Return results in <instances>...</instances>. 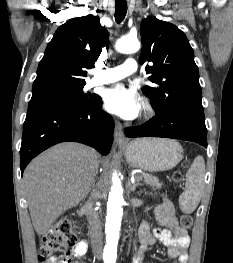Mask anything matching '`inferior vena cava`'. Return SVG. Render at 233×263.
<instances>
[{
    "label": "inferior vena cava",
    "mask_w": 233,
    "mask_h": 263,
    "mask_svg": "<svg viewBox=\"0 0 233 263\" xmlns=\"http://www.w3.org/2000/svg\"><path fill=\"white\" fill-rule=\"evenodd\" d=\"M92 199L93 196L91 197V200H89L88 203L86 204L87 221H88L89 236L91 239L92 250L96 258L100 260L102 258V250H103V235H102L100 218L98 212L94 210Z\"/></svg>",
    "instance_id": "obj_1"
}]
</instances>
